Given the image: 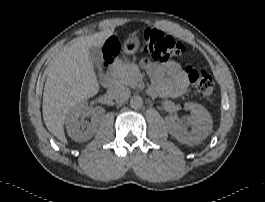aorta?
<instances>
[{
  "label": "aorta",
  "mask_w": 265,
  "mask_h": 202,
  "mask_svg": "<svg viewBox=\"0 0 265 202\" xmlns=\"http://www.w3.org/2000/svg\"><path fill=\"white\" fill-rule=\"evenodd\" d=\"M130 105L132 108L134 109H139L143 106V99L142 97L135 95L133 97H131L130 99Z\"/></svg>",
  "instance_id": "1"
}]
</instances>
